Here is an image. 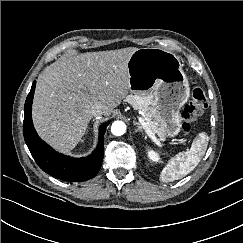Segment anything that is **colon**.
I'll use <instances>...</instances> for the list:
<instances>
[{
  "label": "colon",
  "mask_w": 243,
  "mask_h": 243,
  "mask_svg": "<svg viewBox=\"0 0 243 243\" xmlns=\"http://www.w3.org/2000/svg\"><path fill=\"white\" fill-rule=\"evenodd\" d=\"M208 100L204 90L195 86L192 90L191 100L181 106L177 113L179 128L183 133L190 130V123L207 107Z\"/></svg>",
  "instance_id": "obj_1"
}]
</instances>
